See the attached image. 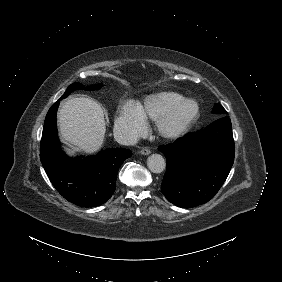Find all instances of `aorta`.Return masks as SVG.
Instances as JSON below:
<instances>
[{
    "label": "aorta",
    "instance_id": "1",
    "mask_svg": "<svg viewBox=\"0 0 282 282\" xmlns=\"http://www.w3.org/2000/svg\"><path fill=\"white\" fill-rule=\"evenodd\" d=\"M147 167L154 173H161L165 169V159L160 154H151L147 158Z\"/></svg>",
    "mask_w": 282,
    "mask_h": 282
}]
</instances>
